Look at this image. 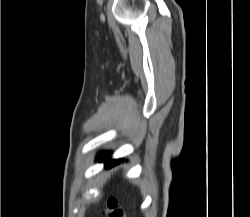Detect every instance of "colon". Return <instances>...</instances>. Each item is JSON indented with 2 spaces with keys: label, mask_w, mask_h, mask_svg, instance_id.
Wrapping results in <instances>:
<instances>
[{
  "label": "colon",
  "mask_w": 250,
  "mask_h": 217,
  "mask_svg": "<svg viewBox=\"0 0 250 217\" xmlns=\"http://www.w3.org/2000/svg\"><path fill=\"white\" fill-rule=\"evenodd\" d=\"M104 213L106 217H128L125 209L114 197H110L107 200L104 208Z\"/></svg>",
  "instance_id": "colon-1"
}]
</instances>
